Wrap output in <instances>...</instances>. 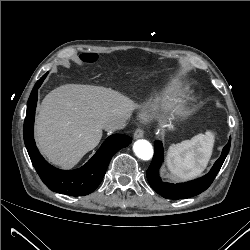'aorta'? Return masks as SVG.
I'll use <instances>...</instances> for the list:
<instances>
[{
  "mask_svg": "<svg viewBox=\"0 0 250 250\" xmlns=\"http://www.w3.org/2000/svg\"><path fill=\"white\" fill-rule=\"evenodd\" d=\"M133 150L142 160H150L153 156L152 145L147 140H137L133 145Z\"/></svg>",
  "mask_w": 250,
  "mask_h": 250,
  "instance_id": "1",
  "label": "aorta"
}]
</instances>
